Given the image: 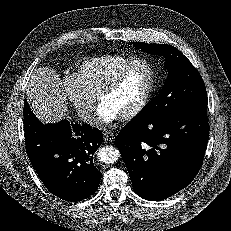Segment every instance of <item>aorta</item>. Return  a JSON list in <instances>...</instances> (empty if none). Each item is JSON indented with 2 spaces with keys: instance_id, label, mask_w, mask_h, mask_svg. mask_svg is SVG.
I'll list each match as a JSON object with an SVG mask.
<instances>
[{
  "instance_id": "aorta-1",
  "label": "aorta",
  "mask_w": 231,
  "mask_h": 231,
  "mask_svg": "<svg viewBox=\"0 0 231 231\" xmlns=\"http://www.w3.org/2000/svg\"><path fill=\"white\" fill-rule=\"evenodd\" d=\"M97 155L101 162L112 164L119 159L120 151L113 146H105L99 149Z\"/></svg>"
}]
</instances>
